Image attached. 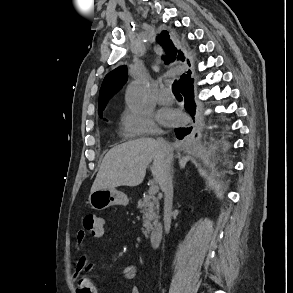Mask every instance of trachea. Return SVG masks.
I'll return each instance as SVG.
<instances>
[{"mask_svg": "<svg viewBox=\"0 0 293 293\" xmlns=\"http://www.w3.org/2000/svg\"><path fill=\"white\" fill-rule=\"evenodd\" d=\"M172 91L175 95H180L179 90H178V82L174 81L172 85Z\"/></svg>", "mask_w": 293, "mask_h": 293, "instance_id": "1", "label": "trachea"}]
</instances>
